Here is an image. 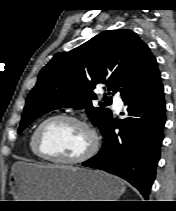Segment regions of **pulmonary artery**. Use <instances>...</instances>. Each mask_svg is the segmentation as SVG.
I'll use <instances>...</instances> for the list:
<instances>
[{
  "label": "pulmonary artery",
  "instance_id": "pulmonary-artery-1",
  "mask_svg": "<svg viewBox=\"0 0 176 211\" xmlns=\"http://www.w3.org/2000/svg\"><path fill=\"white\" fill-rule=\"evenodd\" d=\"M113 107L116 112H119L123 108V101L119 97H115L113 101Z\"/></svg>",
  "mask_w": 176,
  "mask_h": 211
}]
</instances>
